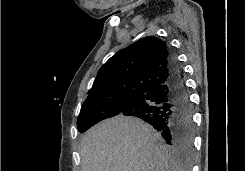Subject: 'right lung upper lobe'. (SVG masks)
Masks as SVG:
<instances>
[{
  "instance_id": "obj_1",
  "label": "right lung upper lobe",
  "mask_w": 245,
  "mask_h": 171,
  "mask_svg": "<svg viewBox=\"0 0 245 171\" xmlns=\"http://www.w3.org/2000/svg\"><path fill=\"white\" fill-rule=\"evenodd\" d=\"M165 41L144 37L112 56L98 71L85 102L118 95L146 94L169 78Z\"/></svg>"
}]
</instances>
